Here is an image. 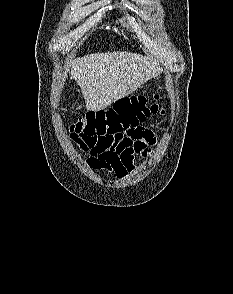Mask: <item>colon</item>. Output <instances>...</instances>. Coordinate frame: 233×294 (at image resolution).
I'll return each instance as SVG.
<instances>
[{
    "label": "colon",
    "instance_id": "5ec220e1",
    "mask_svg": "<svg viewBox=\"0 0 233 294\" xmlns=\"http://www.w3.org/2000/svg\"><path fill=\"white\" fill-rule=\"evenodd\" d=\"M157 99V95L132 96L119 100L108 110L88 112L71 126L72 137L92 155L107 149H123L134 138L125 137V132H137L134 126L159 111Z\"/></svg>",
    "mask_w": 233,
    "mask_h": 294
}]
</instances>
